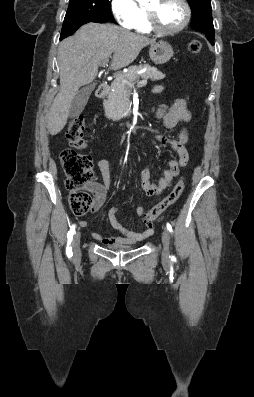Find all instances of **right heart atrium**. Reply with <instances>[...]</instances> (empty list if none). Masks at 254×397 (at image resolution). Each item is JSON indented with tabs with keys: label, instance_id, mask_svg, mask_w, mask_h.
I'll list each match as a JSON object with an SVG mask.
<instances>
[{
	"label": "right heart atrium",
	"instance_id": "d8ad5b80",
	"mask_svg": "<svg viewBox=\"0 0 254 397\" xmlns=\"http://www.w3.org/2000/svg\"><path fill=\"white\" fill-rule=\"evenodd\" d=\"M111 10L118 23L133 29L141 17V8L135 0H111Z\"/></svg>",
	"mask_w": 254,
	"mask_h": 397
}]
</instances>
